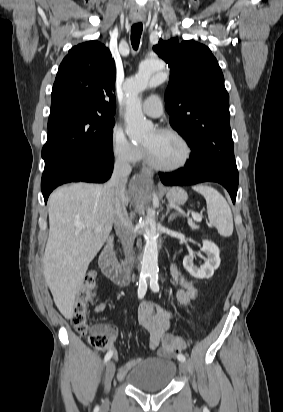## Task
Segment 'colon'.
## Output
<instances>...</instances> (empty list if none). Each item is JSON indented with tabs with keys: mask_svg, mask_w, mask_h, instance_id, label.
I'll use <instances>...</instances> for the list:
<instances>
[{
	"mask_svg": "<svg viewBox=\"0 0 283 412\" xmlns=\"http://www.w3.org/2000/svg\"><path fill=\"white\" fill-rule=\"evenodd\" d=\"M96 274L89 273L78 290L72 310L69 314L74 329L80 335L87 336L89 344L96 349L107 346L108 336L101 327L91 328L88 322L89 309L94 298ZM163 351L168 354L181 351L185 348L183 339L176 335H167L162 341Z\"/></svg>",
	"mask_w": 283,
	"mask_h": 412,
	"instance_id": "1",
	"label": "colon"
}]
</instances>
